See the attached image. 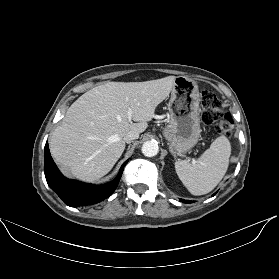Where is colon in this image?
Masks as SVG:
<instances>
[{
    "label": "colon",
    "instance_id": "1",
    "mask_svg": "<svg viewBox=\"0 0 279 279\" xmlns=\"http://www.w3.org/2000/svg\"><path fill=\"white\" fill-rule=\"evenodd\" d=\"M201 118L206 126H214L220 133L230 135L232 132L231 115L225 112L222 103L210 90L202 92Z\"/></svg>",
    "mask_w": 279,
    "mask_h": 279
}]
</instances>
